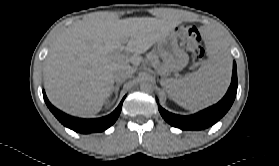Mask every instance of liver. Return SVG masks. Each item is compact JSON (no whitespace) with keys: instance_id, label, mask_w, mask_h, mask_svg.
I'll use <instances>...</instances> for the list:
<instances>
[{"instance_id":"liver-1","label":"liver","mask_w":279,"mask_h":166,"mask_svg":"<svg viewBox=\"0 0 279 166\" xmlns=\"http://www.w3.org/2000/svg\"><path fill=\"white\" fill-rule=\"evenodd\" d=\"M179 24L174 12L162 18L118 19L108 13H95L64 30L45 60L46 94L62 111L79 116L97 114L114 88V73L129 63L137 67L140 54L171 33ZM133 53L116 60L112 53L123 48Z\"/></svg>"}]
</instances>
